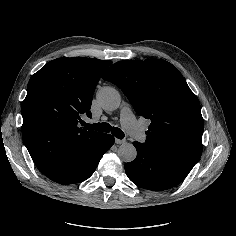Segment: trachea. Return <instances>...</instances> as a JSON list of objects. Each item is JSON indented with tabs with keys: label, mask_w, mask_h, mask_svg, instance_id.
Listing matches in <instances>:
<instances>
[{
	"label": "trachea",
	"mask_w": 236,
	"mask_h": 236,
	"mask_svg": "<svg viewBox=\"0 0 236 236\" xmlns=\"http://www.w3.org/2000/svg\"><path fill=\"white\" fill-rule=\"evenodd\" d=\"M82 126H84V129L87 130H96L100 132H111L116 138L123 139L124 133L123 131L118 127H113L109 123H96V124H87L84 121L81 122Z\"/></svg>",
	"instance_id": "trachea-1"
}]
</instances>
